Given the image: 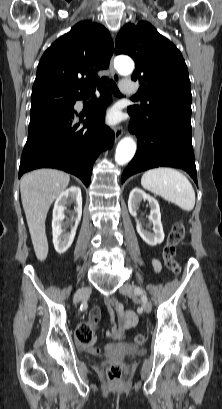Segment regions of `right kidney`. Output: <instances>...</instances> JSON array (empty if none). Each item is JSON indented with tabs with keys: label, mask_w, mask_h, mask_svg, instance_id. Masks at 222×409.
<instances>
[{
	"label": "right kidney",
	"mask_w": 222,
	"mask_h": 409,
	"mask_svg": "<svg viewBox=\"0 0 222 409\" xmlns=\"http://www.w3.org/2000/svg\"><path fill=\"white\" fill-rule=\"evenodd\" d=\"M71 200L75 202L76 206L73 211H69L71 215L70 220L64 222L66 204ZM82 216V196L81 190L77 186H71L67 190L63 191L56 199L53 209L52 219V234L53 244L57 253H65L71 246L77 226ZM70 227V232L66 231V228Z\"/></svg>",
	"instance_id": "ca27d5eb"
}]
</instances>
